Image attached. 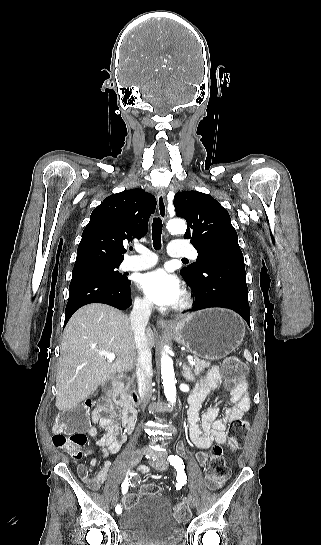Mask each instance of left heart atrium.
Here are the masks:
<instances>
[{
	"instance_id": "obj_1",
	"label": "left heart atrium",
	"mask_w": 321,
	"mask_h": 545,
	"mask_svg": "<svg viewBox=\"0 0 321 545\" xmlns=\"http://www.w3.org/2000/svg\"><path fill=\"white\" fill-rule=\"evenodd\" d=\"M138 287L149 301L162 310L178 305L184 291L179 279L163 268L141 275Z\"/></svg>"
}]
</instances>
